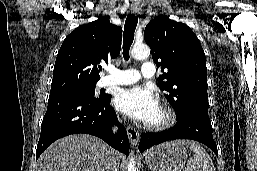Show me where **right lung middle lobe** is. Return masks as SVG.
I'll use <instances>...</instances> for the list:
<instances>
[{
	"label": "right lung middle lobe",
	"instance_id": "obj_1",
	"mask_svg": "<svg viewBox=\"0 0 257 171\" xmlns=\"http://www.w3.org/2000/svg\"><path fill=\"white\" fill-rule=\"evenodd\" d=\"M96 82L90 83H71L61 87H51L50 96L60 95L65 93H80L94 98L103 99L108 94L101 93L99 96H95Z\"/></svg>",
	"mask_w": 257,
	"mask_h": 171
}]
</instances>
